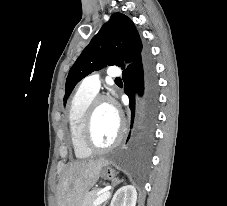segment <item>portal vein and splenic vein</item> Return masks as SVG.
<instances>
[{
    "label": "portal vein and splenic vein",
    "mask_w": 227,
    "mask_h": 206,
    "mask_svg": "<svg viewBox=\"0 0 227 206\" xmlns=\"http://www.w3.org/2000/svg\"><path fill=\"white\" fill-rule=\"evenodd\" d=\"M109 195V191H100L98 193V198L93 202V206H99L101 203L107 200Z\"/></svg>",
    "instance_id": "obj_1"
}]
</instances>
